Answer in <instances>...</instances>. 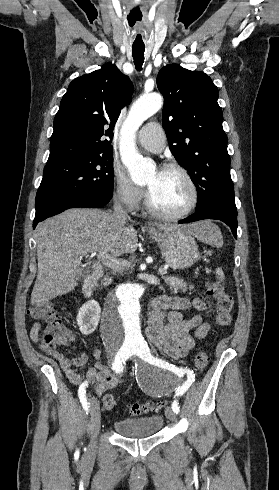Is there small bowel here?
<instances>
[{
  "mask_svg": "<svg viewBox=\"0 0 279 490\" xmlns=\"http://www.w3.org/2000/svg\"><path fill=\"white\" fill-rule=\"evenodd\" d=\"M189 307L198 310L207 308L200 299L188 300L182 297L159 295L153 299L148 311L146 337L161 354L170 359L184 358L194 348L195 338H204L210 330L209 324L203 322L199 316L188 320L182 317L181 311ZM41 328L42 324L37 322L30 330V338L35 344L40 342ZM191 330H194V336L191 335ZM47 354L58 361L71 383L81 389L94 386L99 396L121 382V377L101 362L102 351L99 348H95L92 352L94 365L82 374L77 372L76 367L87 363V354L73 359L56 350H47Z\"/></svg>",
  "mask_w": 279,
  "mask_h": 490,
  "instance_id": "c3829d8e",
  "label": "small bowel"
}]
</instances>
